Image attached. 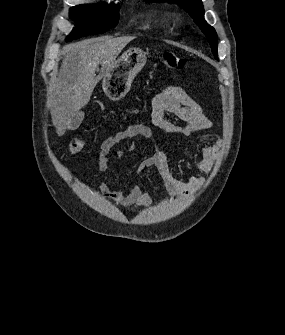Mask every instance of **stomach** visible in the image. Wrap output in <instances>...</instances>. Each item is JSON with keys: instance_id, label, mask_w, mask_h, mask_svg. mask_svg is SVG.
I'll list each match as a JSON object with an SVG mask.
<instances>
[{"instance_id": "obj_1", "label": "stomach", "mask_w": 285, "mask_h": 335, "mask_svg": "<svg viewBox=\"0 0 285 335\" xmlns=\"http://www.w3.org/2000/svg\"><path fill=\"white\" fill-rule=\"evenodd\" d=\"M145 54L146 52H142L139 48H130L118 60H115L112 68L107 70L102 80V88L107 98L114 102L125 98L136 74L146 64Z\"/></svg>"}]
</instances>
